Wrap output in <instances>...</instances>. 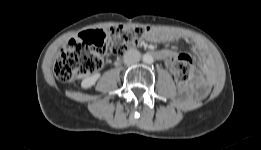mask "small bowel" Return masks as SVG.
I'll list each match as a JSON object with an SVG mask.
<instances>
[{"label": "small bowel", "instance_id": "obj_1", "mask_svg": "<svg viewBox=\"0 0 261 150\" xmlns=\"http://www.w3.org/2000/svg\"><path fill=\"white\" fill-rule=\"evenodd\" d=\"M183 36L179 33L172 32V31H166V30H159V29H150L148 33L146 34V39L153 43H167V42H173L181 39ZM196 51L199 55L203 56L205 54V48L204 46L198 42L193 41ZM156 56L159 59H163L165 63H167V60L169 58L174 57V53H172L169 50H161L156 53ZM204 68L208 69L207 62H204Z\"/></svg>", "mask_w": 261, "mask_h": 150}]
</instances>
